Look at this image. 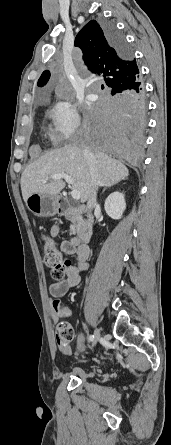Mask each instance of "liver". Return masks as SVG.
Masks as SVG:
<instances>
[{"label": "liver", "mask_w": 171, "mask_h": 445, "mask_svg": "<svg viewBox=\"0 0 171 445\" xmlns=\"http://www.w3.org/2000/svg\"><path fill=\"white\" fill-rule=\"evenodd\" d=\"M85 145H68L44 154L30 164L21 176V191L23 200L33 193L57 196L65 187L62 179L53 180L54 174L65 173L72 177V188L80 192L81 202L89 200L93 188L88 161L85 157ZM98 186H111L128 177L127 167L120 161L103 157L100 151L95 150ZM52 179L49 182L44 180Z\"/></svg>", "instance_id": "obj_1"}]
</instances>
